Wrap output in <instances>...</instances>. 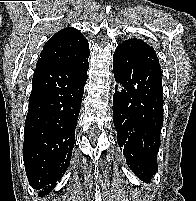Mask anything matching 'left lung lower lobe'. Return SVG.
Returning <instances> with one entry per match:
<instances>
[{"label":"left lung lower lobe","instance_id":"obj_1","mask_svg":"<svg viewBox=\"0 0 196 201\" xmlns=\"http://www.w3.org/2000/svg\"><path fill=\"white\" fill-rule=\"evenodd\" d=\"M113 72L124 89L113 96L117 141L129 168L150 183L157 171V152L163 125L162 72L158 62L119 44Z\"/></svg>","mask_w":196,"mask_h":201}]
</instances>
